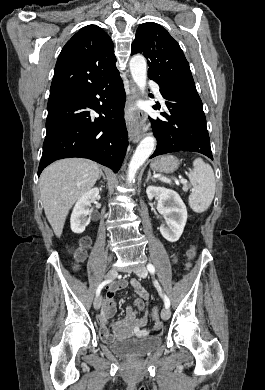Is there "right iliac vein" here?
<instances>
[{
	"label": "right iliac vein",
	"mask_w": 265,
	"mask_h": 390,
	"mask_svg": "<svg viewBox=\"0 0 265 390\" xmlns=\"http://www.w3.org/2000/svg\"><path fill=\"white\" fill-rule=\"evenodd\" d=\"M118 272H117V269L116 268H113L111 269L107 275H106V279L110 280V279H114L116 276H117ZM101 306V296L98 295L95 300H94V308L96 310H98Z\"/></svg>",
	"instance_id": "obj_1"
}]
</instances>
